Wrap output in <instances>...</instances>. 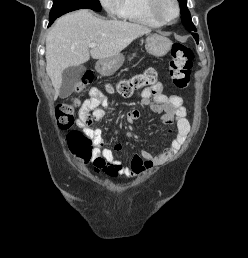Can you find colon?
Returning a JSON list of instances; mask_svg holds the SVG:
<instances>
[{"instance_id": "1", "label": "colon", "mask_w": 248, "mask_h": 258, "mask_svg": "<svg viewBox=\"0 0 248 258\" xmlns=\"http://www.w3.org/2000/svg\"><path fill=\"white\" fill-rule=\"evenodd\" d=\"M171 60L169 63V74L173 84L177 88L184 89L190 82V71L193 62V52L190 47L175 43L171 49ZM93 80L90 72L85 73L77 86V91L86 88ZM145 87H159L157 72L149 68L143 73L137 74L130 79H125L116 84L115 87L107 86L108 91H116L123 97L131 96L135 91ZM76 101L63 103L56 107L55 118L61 129H70L74 123V111ZM67 142L71 152L80 160L89 162L93 154L91 137L82 130H70L67 135ZM109 176L115 177L116 171L103 169Z\"/></svg>"}]
</instances>
